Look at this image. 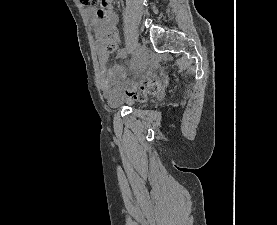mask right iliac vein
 <instances>
[{"instance_id": "obj_1", "label": "right iliac vein", "mask_w": 277, "mask_h": 225, "mask_svg": "<svg viewBox=\"0 0 277 225\" xmlns=\"http://www.w3.org/2000/svg\"><path fill=\"white\" fill-rule=\"evenodd\" d=\"M147 54H148L147 47L145 45H142L139 48V52H138V59H137L138 66L142 67L145 65L147 61Z\"/></svg>"}]
</instances>
